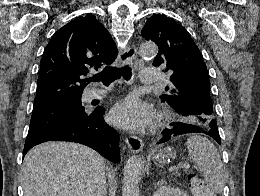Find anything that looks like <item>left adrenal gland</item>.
<instances>
[{
	"instance_id": "obj_1",
	"label": "left adrenal gland",
	"mask_w": 260,
	"mask_h": 196,
	"mask_svg": "<svg viewBox=\"0 0 260 196\" xmlns=\"http://www.w3.org/2000/svg\"><path fill=\"white\" fill-rule=\"evenodd\" d=\"M160 184H163V180H160V182H157L156 186H160Z\"/></svg>"
}]
</instances>
